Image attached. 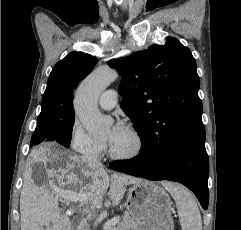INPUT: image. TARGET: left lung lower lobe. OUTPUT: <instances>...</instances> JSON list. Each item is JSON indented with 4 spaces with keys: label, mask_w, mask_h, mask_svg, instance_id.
I'll list each match as a JSON object with an SVG mask.
<instances>
[{
    "label": "left lung lower lobe",
    "mask_w": 241,
    "mask_h": 230,
    "mask_svg": "<svg viewBox=\"0 0 241 230\" xmlns=\"http://www.w3.org/2000/svg\"><path fill=\"white\" fill-rule=\"evenodd\" d=\"M133 159L114 161L110 168L148 180H169L182 183L194 192L202 207L208 208L209 160L205 141H162L142 143Z\"/></svg>",
    "instance_id": "obj_1"
}]
</instances>
